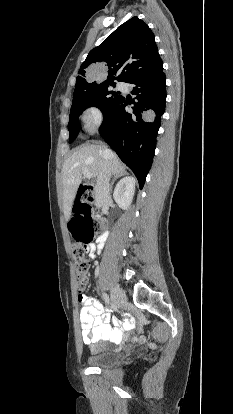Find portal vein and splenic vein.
Here are the masks:
<instances>
[{"label":"portal vein and splenic vein","mask_w":233,"mask_h":414,"mask_svg":"<svg viewBox=\"0 0 233 414\" xmlns=\"http://www.w3.org/2000/svg\"><path fill=\"white\" fill-rule=\"evenodd\" d=\"M86 177H87L88 179H90V178H91V175H90L89 173H87V174H86Z\"/></svg>","instance_id":"obj_1"}]
</instances>
